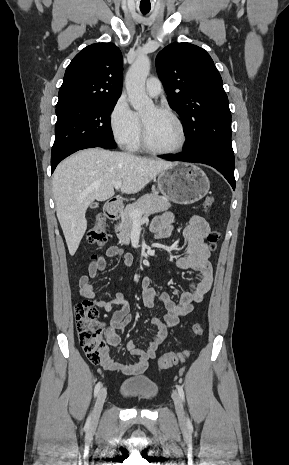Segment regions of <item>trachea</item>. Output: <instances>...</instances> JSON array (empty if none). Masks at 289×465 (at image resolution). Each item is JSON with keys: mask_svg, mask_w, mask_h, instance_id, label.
Returning <instances> with one entry per match:
<instances>
[{"mask_svg": "<svg viewBox=\"0 0 289 465\" xmlns=\"http://www.w3.org/2000/svg\"><path fill=\"white\" fill-rule=\"evenodd\" d=\"M149 11H150V10H142V9H141L142 14H144V15L147 14Z\"/></svg>", "mask_w": 289, "mask_h": 465, "instance_id": "trachea-1", "label": "trachea"}]
</instances>
